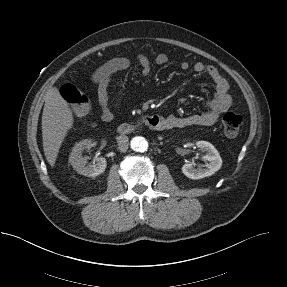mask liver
Wrapping results in <instances>:
<instances>
[{
  "label": "liver",
  "mask_w": 287,
  "mask_h": 287,
  "mask_svg": "<svg viewBox=\"0 0 287 287\" xmlns=\"http://www.w3.org/2000/svg\"><path fill=\"white\" fill-rule=\"evenodd\" d=\"M42 114V137L45 157L54 166L61 144L73 126V114L68 103L56 87L49 89L45 96Z\"/></svg>",
  "instance_id": "liver-1"
}]
</instances>
